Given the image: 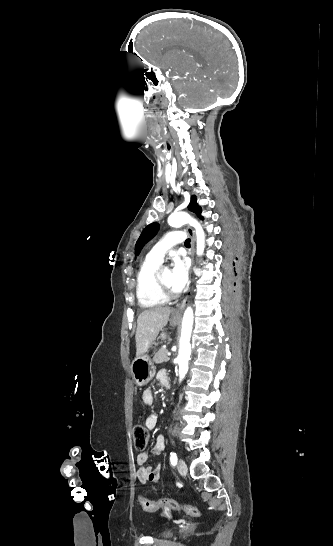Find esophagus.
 <instances>
[{
  "label": "esophagus",
  "instance_id": "obj_1",
  "mask_svg": "<svg viewBox=\"0 0 333 546\" xmlns=\"http://www.w3.org/2000/svg\"><path fill=\"white\" fill-rule=\"evenodd\" d=\"M187 231H188V234L191 237L190 256H191V259H192V262H193V260H194L195 234H194V231H193V229L191 227H187ZM186 301H187V297L180 304L177 305V307L173 311L174 316H181V314H182V312L184 310V307L186 305Z\"/></svg>",
  "mask_w": 333,
  "mask_h": 546
}]
</instances>
